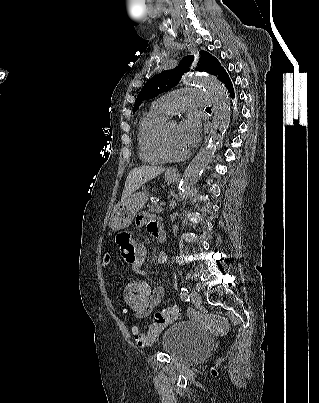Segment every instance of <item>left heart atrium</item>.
Instances as JSON below:
<instances>
[{"label": "left heart atrium", "instance_id": "obj_1", "mask_svg": "<svg viewBox=\"0 0 319 403\" xmlns=\"http://www.w3.org/2000/svg\"><path fill=\"white\" fill-rule=\"evenodd\" d=\"M181 140L188 150L192 148L199 139L200 124L194 116L188 117L179 125Z\"/></svg>", "mask_w": 319, "mask_h": 403}]
</instances>
